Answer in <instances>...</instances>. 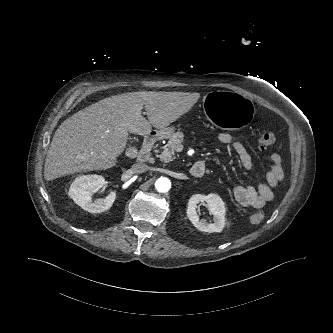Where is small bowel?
Instances as JSON below:
<instances>
[{
  "label": "small bowel",
  "mask_w": 333,
  "mask_h": 333,
  "mask_svg": "<svg viewBox=\"0 0 333 333\" xmlns=\"http://www.w3.org/2000/svg\"><path fill=\"white\" fill-rule=\"evenodd\" d=\"M219 141L230 146L236 153L242 167L249 171L252 169L253 161L247 148L231 133L222 132ZM271 168L266 174V183L256 185H237L233 188V196L238 203L244 206L262 208L266 202L274 197V188L282 182L284 178L282 170V159L278 154H273L270 158ZM204 164V161H199Z\"/></svg>",
  "instance_id": "small-bowel-1"
}]
</instances>
